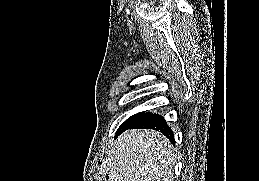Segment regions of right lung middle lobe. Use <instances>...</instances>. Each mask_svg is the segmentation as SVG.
<instances>
[{
	"instance_id": "right-lung-middle-lobe-1",
	"label": "right lung middle lobe",
	"mask_w": 259,
	"mask_h": 181,
	"mask_svg": "<svg viewBox=\"0 0 259 181\" xmlns=\"http://www.w3.org/2000/svg\"><path fill=\"white\" fill-rule=\"evenodd\" d=\"M144 112H139L137 114L132 115L131 117H129L119 128H122L132 122H134L135 120H137Z\"/></svg>"
}]
</instances>
